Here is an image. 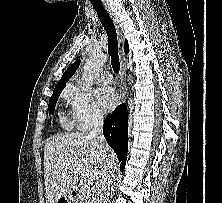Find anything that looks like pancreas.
Returning a JSON list of instances; mask_svg holds the SVG:
<instances>
[{"mask_svg": "<svg viewBox=\"0 0 222 203\" xmlns=\"http://www.w3.org/2000/svg\"><path fill=\"white\" fill-rule=\"evenodd\" d=\"M93 195L92 194H86L83 198H82V203H93Z\"/></svg>", "mask_w": 222, "mask_h": 203, "instance_id": "cf45deb5", "label": "pancreas"}]
</instances>
